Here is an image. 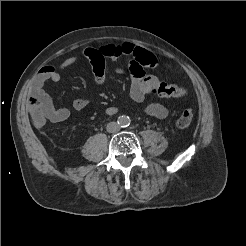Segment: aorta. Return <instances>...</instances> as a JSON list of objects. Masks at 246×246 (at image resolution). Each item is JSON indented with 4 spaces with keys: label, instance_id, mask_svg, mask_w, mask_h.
Returning <instances> with one entry per match:
<instances>
[{
    "label": "aorta",
    "instance_id": "1",
    "mask_svg": "<svg viewBox=\"0 0 246 246\" xmlns=\"http://www.w3.org/2000/svg\"><path fill=\"white\" fill-rule=\"evenodd\" d=\"M120 124L121 125H127V124H129V120H128V118L127 117H121L120 118Z\"/></svg>",
    "mask_w": 246,
    "mask_h": 246
}]
</instances>
